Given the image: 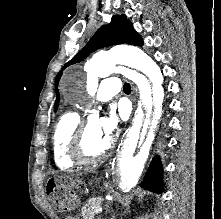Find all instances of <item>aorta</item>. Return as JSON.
I'll return each mask as SVG.
<instances>
[{"label": "aorta", "instance_id": "obj_1", "mask_svg": "<svg viewBox=\"0 0 221 219\" xmlns=\"http://www.w3.org/2000/svg\"><path fill=\"white\" fill-rule=\"evenodd\" d=\"M119 66L136 69L147 76L151 101V105L141 109L136 116L134 125L114 166L115 186L122 193H127L138 183L154 139L155 128L162 117L160 88L163 85V76L155 61L141 49L123 46L107 53L95 54L87 62L86 69L92 79L90 93H95L97 90L98 77H108ZM72 73L69 70L65 74V83L71 79ZM140 131L146 132V138L140 150L136 151Z\"/></svg>", "mask_w": 221, "mask_h": 219}]
</instances>
